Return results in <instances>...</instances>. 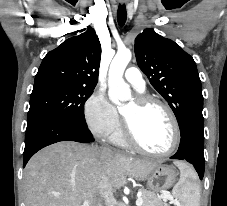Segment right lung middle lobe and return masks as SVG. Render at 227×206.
<instances>
[{"instance_id": "right-lung-middle-lobe-1", "label": "right lung middle lobe", "mask_w": 227, "mask_h": 206, "mask_svg": "<svg viewBox=\"0 0 227 206\" xmlns=\"http://www.w3.org/2000/svg\"><path fill=\"white\" fill-rule=\"evenodd\" d=\"M93 90L58 82L34 84L27 124L41 117L63 118L83 124L84 104Z\"/></svg>"}]
</instances>
